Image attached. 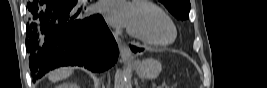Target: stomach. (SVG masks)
Wrapping results in <instances>:
<instances>
[{"label":"stomach","mask_w":267,"mask_h":88,"mask_svg":"<svg viewBox=\"0 0 267 88\" xmlns=\"http://www.w3.org/2000/svg\"><path fill=\"white\" fill-rule=\"evenodd\" d=\"M141 78L154 79L158 77L162 70L161 63L155 59L148 58L142 62H136L130 65Z\"/></svg>","instance_id":"obj_1"}]
</instances>
